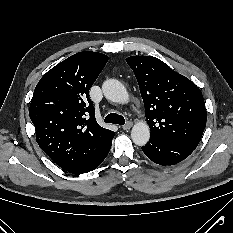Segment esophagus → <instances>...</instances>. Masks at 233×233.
Returning a JSON list of instances; mask_svg holds the SVG:
<instances>
[{"label": "esophagus", "instance_id": "1", "mask_svg": "<svg viewBox=\"0 0 233 233\" xmlns=\"http://www.w3.org/2000/svg\"><path fill=\"white\" fill-rule=\"evenodd\" d=\"M132 127V122L128 121L125 125L122 126L123 130L127 131Z\"/></svg>", "mask_w": 233, "mask_h": 233}]
</instances>
